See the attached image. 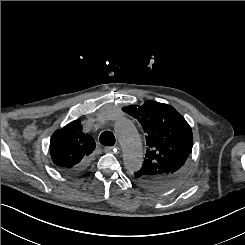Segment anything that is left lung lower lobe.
I'll return each mask as SVG.
<instances>
[{"mask_svg": "<svg viewBox=\"0 0 245 245\" xmlns=\"http://www.w3.org/2000/svg\"><path fill=\"white\" fill-rule=\"evenodd\" d=\"M172 181H162V182H159L158 186L156 189H161V188H164L166 187L167 185H169Z\"/></svg>", "mask_w": 245, "mask_h": 245, "instance_id": "left-lung-lower-lobe-1", "label": "left lung lower lobe"}]
</instances>
